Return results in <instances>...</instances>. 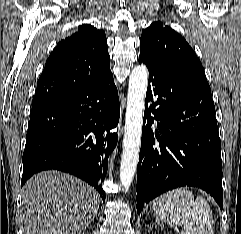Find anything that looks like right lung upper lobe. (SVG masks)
Wrapping results in <instances>:
<instances>
[{
	"label": "right lung upper lobe",
	"mask_w": 241,
	"mask_h": 234,
	"mask_svg": "<svg viewBox=\"0 0 241 234\" xmlns=\"http://www.w3.org/2000/svg\"><path fill=\"white\" fill-rule=\"evenodd\" d=\"M104 31L82 24L61 40L48 60L33 99L83 88L111 74Z\"/></svg>",
	"instance_id": "right-lung-upper-lobe-1"
}]
</instances>
